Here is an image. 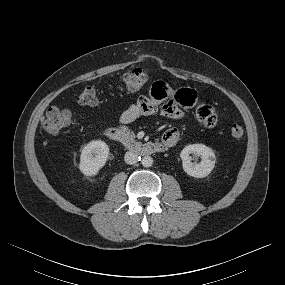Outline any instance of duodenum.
<instances>
[{
	"instance_id": "duodenum-1",
	"label": "duodenum",
	"mask_w": 285,
	"mask_h": 285,
	"mask_svg": "<svg viewBox=\"0 0 285 285\" xmlns=\"http://www.w3.org/2000/svg\"><path fill=\"white\" fill-rule=\"evenodd\" d=\"M105 134L110 140L121 144L126 149L145 156L162 152L166 147L164 143L159 141H150L145 143L133 142L122 130L115 127L107 128Z\"/></svg>"
}]
</instances>
